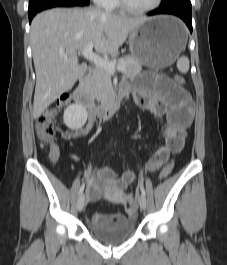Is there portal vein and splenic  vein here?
<instances>
[{
    "label": "portal vein and splenic vein",
    "instance_id": "portal-vein-and-splenic-vein-1",
    "mask_svg": "<svg viewBox=\"0 0 227 265\" xmlns=\"http://www.w3.org/2000/svg\"><path fill=\"white\" fill-rule=\"evenodd\" d=\"M81 54L88 59L89 61H92L96 66L104 68L107 70L110 74H114L116 70L120 72L125 71L124 65H118L116 66L115 63L110 62L106 59H103L99 55L93 52V43L89 42L86 44L84 49L81 51Z\"/></svg>",
    "mask_w": 227,
    "mask_h": 265
}]
</instances>
